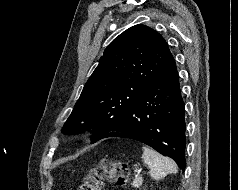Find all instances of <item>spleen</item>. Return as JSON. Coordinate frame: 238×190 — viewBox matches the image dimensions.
<instances>
[{
    "label": "spleen",
    "instance_id": "spleen-1",
    "mask_svg": "<svg viewBox=\"0 0 238 190\" xmlns=\"http://www.w3.org/2000/svg\"><path fill=\"white\" fill-rule=\"evenodd\" d=\"M142 158L151 168L150 175L153 179H162L169 173H177V165L172 159L160 155L149 147L143 146Z\"/></svg>",
    "mask_w": 238,
    "mask_h": 190
}]
</instances>
